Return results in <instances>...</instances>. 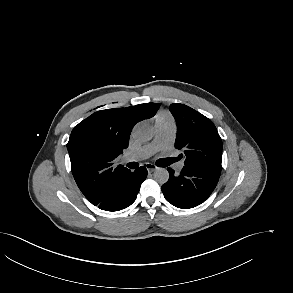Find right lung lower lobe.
Segmentation results:
<instances>
[{
  "label": "right lung lower lobe",
  "mask_w": 293,
  "mask_h": 293,
  "mask_svg": "<svg viewBox=\"0 0 293 293\" xmlns=\"http://www.w3.org/2000/svg\"><path fill=\"white\" fill-rule=\"evenodd\" d=\"M146 177L147 169L143 166L130 172L116 183L112 196L97 206L106 211H119L130 206L136 200L140 186Z\"/></svg>",
  "instance_id": "right-lung-lower-lobe-1"
}]
</instances>
